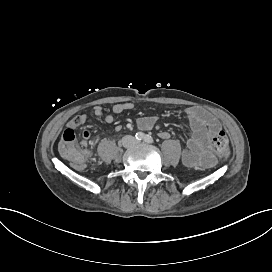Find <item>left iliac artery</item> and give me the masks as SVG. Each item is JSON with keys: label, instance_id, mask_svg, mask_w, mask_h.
Masks as SVG:
<instances>
[{"label": "left iliac artery", "instance_id": "obj_1", "mask_svg": "<svg viewBox=\"0 0 272 272\" xmlns=\"http://www.w3.org/2000/svg\"><path fill=\"white\" fill-rule=\"evenodd\" d=\"M144 141H145L146 143H150V144H151V143L154 142V139H153V137L150 136V135H145Z\"/></svg>", "mask_w": 272, "mask_h": 272}]
</instances>
